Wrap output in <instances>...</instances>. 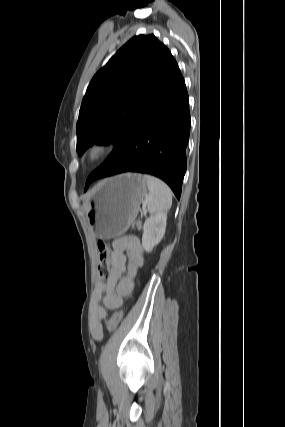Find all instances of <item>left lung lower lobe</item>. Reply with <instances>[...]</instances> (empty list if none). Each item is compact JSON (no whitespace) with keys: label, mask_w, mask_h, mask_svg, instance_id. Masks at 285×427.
<instances>
[{"label":"left lung lower lobe","mask_w":285,"mask_h":427,"mask_svg":"<svg viewBox=\"0 0 285 427\" xmlns=\"http://www.w3.org/2000/svg\"><path fill=\"white\" fill-rule=\"evenodd\" d=\"M188 93L172 57L146 106L110 157L86 182L124 172H140L164 180L180 198L189 140Z\"/></svg>","instance_id":"0a47b994"}]
</instances>
